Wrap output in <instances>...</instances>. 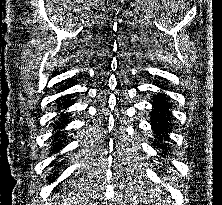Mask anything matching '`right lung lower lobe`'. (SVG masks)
Listing matches in <instances>:
<instances>
[{
	"label": "right lung lower lobe",
	"mask_w": 222,
	"mask_h": 205,
	"mask_svg": "<svg viewBox=\"0 0 222 205\" xmlns=\"http://www.w3.org/2000/svg\"><path fill=\"white\" fill-rule=\"evenodd\" d=\"M64 100H65V103H63V108H68L69 106H71V102H68V100L70 99V96L68 95L66 98H63ZM60 117L62 118H66L67 117V114L66 113H62L61 115H60ZM65 124H68V121H66V119L65 120H63V121H60V122H57L56 123V126H55V128H54V130H56V129H60V128H62V126L63 125H65ZM60 138H64V135L63 134H61L59 131H58V133H56L55 134V136L53 137V150L54 151H58V150H60V148L61 147H64V143H65V140H62V139H60ZM58 164H56V166H57Z\"/></svg>",
	"instance_id": "1"
}]
</instances>
